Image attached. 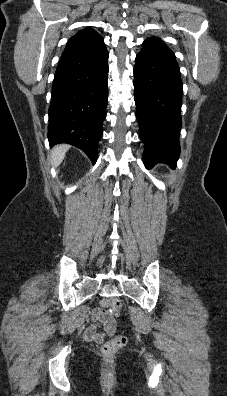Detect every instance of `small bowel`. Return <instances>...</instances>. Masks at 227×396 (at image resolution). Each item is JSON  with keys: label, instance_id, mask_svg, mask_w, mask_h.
<instances>
[{"label": "small bowel", "instance_id": "c3829d8e", "mask_svg": "<svg viewBox=\"0 0 227 396\" xmlns=\"http://www.w3.org/2000/svg\"><path fill=\"white\" fill-rule=\"evenodd\" d=\"M109 304V300L104 299L101 302V309L93 312V323L85 330L84 337L86 340L102 343L106 335H113L115 332V323L108 318L104 308Z\"/></svg>", "mask_w": 227, "mask_h": 396}]
</instances>
